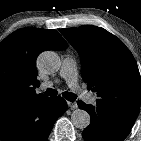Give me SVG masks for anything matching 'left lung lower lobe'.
Instances as JSON below:
<instances>
[{
  "label": "left lung lower lobe",
  "mask_w": 141,
  "mask_h": 141,
  "mask_svg": "<svg viewBox=\"0 0 141 141\" xmlns=\"http://www.w3.org/2000/svg\"><path fill=\"white\" fill-rule=\"evenodd\" d=\"M78 106L90 114V125L84 130L85 141H123L131 130L136 110H116L101 104L87 105L81 100Z\"/></svg>",
  "instance_id": "0a47b994"
}]
</instances>
